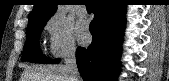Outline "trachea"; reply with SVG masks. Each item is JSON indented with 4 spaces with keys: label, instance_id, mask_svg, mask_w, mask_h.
Listing matches in <instances>:
<instances>
[{
    "label": "trachea",
    "instance_id": "3493384b",
    "mask_svg": "<svg viewBox=\"0 0 169 81\" xmlns=\"http://www.w3.org/2000/svg\"><path fill=\"white\" fill-rule=\"evenodd\" d=\"M84 5H86L87 9H93V6H94L93 3L89 0L86 1Z\"/></svg>",
    "mask_w": 169,
    "mask_h": 81
}]
</instances>
